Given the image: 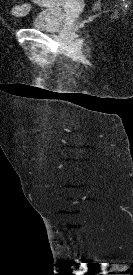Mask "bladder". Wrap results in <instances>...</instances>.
Instances as JSON below:
<instances>
[{"label": "bladder", "mask_w": 133, "mask_h": 275, "mask_svg": "<svg viewBox=\"0 0 133 275\" xmlns=\"http://www.w3.org/2000/svg\"><path fill=\"white\" fill-rule=\"evenodd\" d=\"M56 1L61 2V0ZM63 21L64 13L62 8L60 6H48L35 13L31 27L46 32H56Z\"/></svg>", "instance_id": "bladder-1"}]
</instances>
